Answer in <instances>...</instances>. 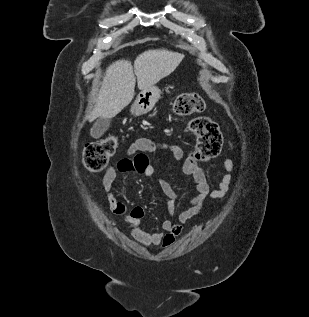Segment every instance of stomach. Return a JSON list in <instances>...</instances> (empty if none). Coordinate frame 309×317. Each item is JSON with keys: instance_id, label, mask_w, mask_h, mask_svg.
Returning a JSON list of instances; mask_svg holds the SVG:
<instances>
[{"instance_id": "obj_1", "label": "stomach", "mask_w": 309, "mask_h": 317, "mask_svg": "<svg viewBox=\"0 0 309 317\" xmlns=\"http://www.w3.org/2000/svg\"><path fill=\"white\" fill-rule=\"evenodd\" d=\"M161 91L158 87H151L141 90L131 106V113L139 116L148 113L153 109L160 98Z\"/></svg>"}]
</instances>
